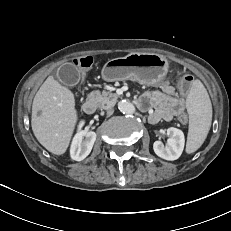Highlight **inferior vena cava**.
<instances>
[{"instance_id":"obj_1","label":"inferior vena cava","mask_w":231,"mask_h":231,"mask_svg":"<svg viewBox=\"0 0 231 231\" xmlns=\"http://www.w3.org/2000/svg\"><path fill=\"white\" fill-rule=\"evenodd\" d=\"M113 112H114V110L110 108V109H108V110H107V115H109V116H110V115H112V114H113Z\"/></svg>"}]
</instances>
